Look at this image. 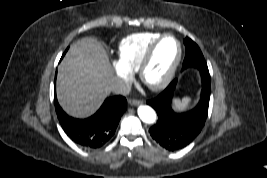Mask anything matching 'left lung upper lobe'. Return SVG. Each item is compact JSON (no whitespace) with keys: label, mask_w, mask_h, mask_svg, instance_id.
I'll list each match as a JSON object with an SVG mask.
<instances>
[{"label":"left lung upper lobe","mask_w":267,"mask_h":178,"mask_svg":"<svg viewBox=\"0 0 267 178\" xmlns=\"http://www.w3.org/2000/svg\"><path fill=\"white\" fill-rule=\"evenodd\" d=\"M186 54L183 62V69L187 67H196L199 70H208L206 61L197 44L188 37L184 40Z\"/></svg>","instance_id":"5c2ea615"}]
</instances>
